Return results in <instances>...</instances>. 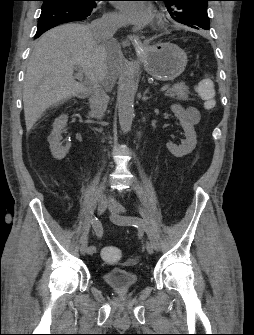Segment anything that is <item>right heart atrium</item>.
<instances>
[{
  "label": "right heart atrium",
  "instance_id": "right-heart-atrium-1",
  "mask_svg": "<svg viewBox=\"0 0 254 335\" xmlns=\"http://www.w3.org/2000/svg\"><path fill=\"white\" fill-rule=\"evenodd\" d=\"M103 20L105 22H119L120 21V16L119 14L115 12L108 13L103 17Z\"/></svg>",
  "mask_w": 254,
  "mask_h": 335
}]
</instances>
